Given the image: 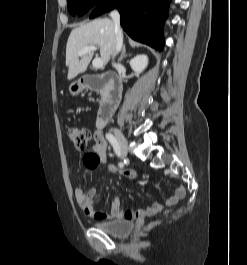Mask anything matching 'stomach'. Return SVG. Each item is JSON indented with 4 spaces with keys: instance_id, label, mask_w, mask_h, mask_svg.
<instances>
[{
    "instance_id": "0dacf381",
    "label": "stomach",
    "mask_w": 247,
    "mask_h": 265,
    "mask_svg": "<svg viewBox=\"0 0 247 265\" xmlns=\"http://www.w3.org/2000/svg\"><path fill=\"white\" fill-rule=\"evenodd\" d=\"M85 86L84 84L81 82V80L75 81L73 83L70 84L69 86V92L73 95L76 96L79 93H81L84 90Z\"/></svg>"
}]
</instances>
